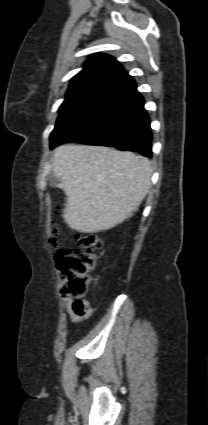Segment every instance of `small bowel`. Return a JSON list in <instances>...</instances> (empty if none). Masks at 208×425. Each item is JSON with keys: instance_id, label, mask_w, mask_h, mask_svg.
Returning a JSON list of instances; mask_svg holds the SVG:
<instances>
[{"instance_id": "small-bowel-1", "label": "small bowel", "mask_w": 208, "mask_h": 425, "mask_svg": "<svg viewBox=\"0 0 208 425\" xmlns=\"http://www.w3.org/2000/svg\"><path fill=\"white\" fill-rule=\"evenodd\" d=\"M62 301L66 305L67 312L70 316V319L74 323H78L80 321L86 320L91 317L94 309L89 305L84 308H78L77 304L74 300L69 299L67 297H63Z\"/></svg>"}]
</instances>
